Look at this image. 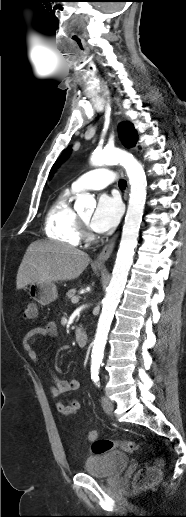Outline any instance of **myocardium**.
I'll return each mask as SVG.
<instances>
[{"instance_id":"myocardium-1","label":"myocardium","mask_w":186,"mask_h":517,"mask_svg":"<svg viewBox=\"0 0 186 517\" xmlns=\"http://www.w3.org/2000/svg\"><path fill=\"white\" fill-rule=\"evenodd\" d=\"M80 222L82 224V226L84 227V230L82 231V237L90 242V241H93L95 239L94 235L88 230V223L87 221H85L83 218L80 219Z\"/></svg>"}]
</instances>
